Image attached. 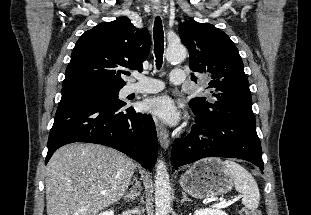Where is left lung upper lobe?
Here are the masks:
<instances>
[{"label":"left lung upper lobe","mask_w":311,"mask_h":215,"mask_svg":"<svg viewBox=\"0 0 311 215\" xmlns=\"http://www.w3.org/2000/svg\"><path fill=\"white\" fill-rule=\"evenodd\" d=\"M179 35L189 51L190 69L208 76L210 94L190 100L191 109L210 116L253 114L243 62L229 36L211 24L194 20L182 23ZM191 79L196 82L197 77L192 74Z\"/></svg>","instance_id":"left-lung-upper-lobe-1"}]
</instances>
